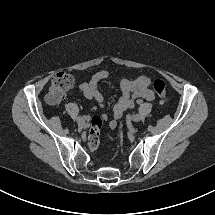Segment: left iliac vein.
Here are the masks:
<instances>
[{
  "instance_id": "1",
  "label": "left iliac vein",
  "mask_w": 215,
  "mask_h": 215,
  "mask_svg": "<svg viewBox=\"0 0 215 215\" xmlns=\"http://www.w3.org/2000/svg\"><path fill=\"white\" fill-rule=\"evenodd\" d=\"M132 121L139 122L142 119V116L140 114H133L131 116Z\"/></svg>"
}]
</instances>
